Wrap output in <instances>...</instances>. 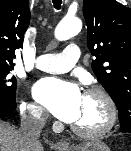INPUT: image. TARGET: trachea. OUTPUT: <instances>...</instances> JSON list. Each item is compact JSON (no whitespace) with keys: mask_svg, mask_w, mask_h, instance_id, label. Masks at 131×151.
I'll return each instance as SVG.
<instances>
[{"mask_svg":"<svg viewBox=\"0 0 131 151\" xmlns=\"http://www.w3.org/2000/svg\"><path fill=\"white\" fill-rule=\"evenodd\" d=\"M53 4H54V7L56 9H60L61 7V4H62V0H52Z\"/></svg>","mask_w":131,"mask_h":151,"instance_id":"1","label":"trachea"}]
</instances>
